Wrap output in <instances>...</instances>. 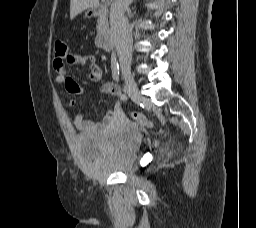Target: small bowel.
<instances>
[{"label": "small bowel", "mask_w": 256, "mask_h": 228, "mask_svg": "<svg viewBox=\"0 0 256 228\" xmlns=\"http://www.w3.org/2000/svg\"><path fill=\"white\" fill-rule=\"evenodd\" d=\"M74 65L78 67H88V78L92 82L101 80L103 76L102 68L96 63L94 56H81L77 53L70 52L69 59L64 64H58L56 60L53 61L54 69L57 72L56 81L64 85L66 91L71 95H79L84 92L83 88L66 73L65 66ZM101 92L103 94H109L117 96L119 94V87L113 82L105 83ZM128 122V118L118 100L115 101L113 108L106 113L104 118L96 123L90 120H86L83 114L76 116L74 125L82 132L92 133H108L115 128L125 125Z\"/></svg>", "instance_id": "c3829d8e"}]
</instances>
